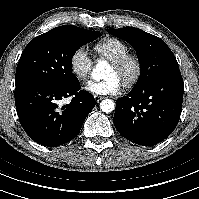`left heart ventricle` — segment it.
I'll return each mask as SVG.
<instances>
[{
    "label": "left heart ventricle",
    "mask_w": 199,
    "mask_h": 199,
    "mask_svg": "<svg viewBox=\"0 0 199 199\" xmlns=\"http://www.w3.org/2000/svg\"><path fill=\"white\" fill-rule=\"evenodd\" d=\"M126 74V70L124 71H120L117 70L116 68H114L112 65L109 67L107 73H106V77H111V76H116L118 77L121 81H123L124 77Z\"/></svg>",
    "instance_id": "left-heart-ventricle-1"
}]
</instances>
